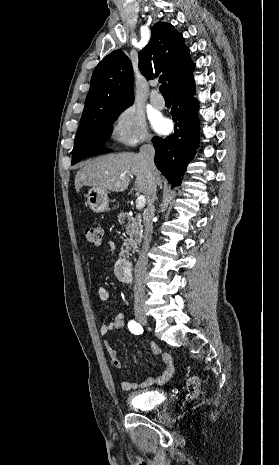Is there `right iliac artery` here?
I'll return each instance as SVG.
<instances>
[{
  "label": "right iliac artery",
  "instance_id": "1",
  "mask_svg": "<svg viewBox=\"0 0 279 465\" xmlns=\"http://www.w3.org/2000/svg\"><path fill=\"white\" fill-rule=\"evenodd\" d=\"M128 328L132 333H134L136 335L142 334V332H143V328L141 327V325L138 322L134 321V320H131L128 323Z\"/></svg>",
  "mask_w": 279,
  "mask_h": 465
}]
</instances>
